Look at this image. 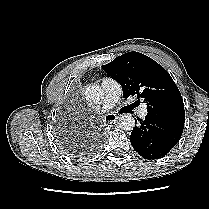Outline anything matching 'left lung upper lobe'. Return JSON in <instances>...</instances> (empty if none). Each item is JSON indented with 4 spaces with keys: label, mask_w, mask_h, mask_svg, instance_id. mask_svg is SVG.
Segmentation results:
<instances>
[{
    "label": "left lung upper lobe",
    "mask_w": 209,
    "mask_h": 209,
    "mask_svg": "<svg viewBox=\"0 0 209 209\" xmlns=\"http://www.w3.org/2000/svg\"><path fill=\"white\" fill-rule=\"evenodd\" d=\"M122 85L123 97L137 95L147 102L149 116L184 126L185 111L178 87L157 62L139 52H128L103 65Z\"/></svg>",
    "instance_id": "obj_1"
}]
</instances>
